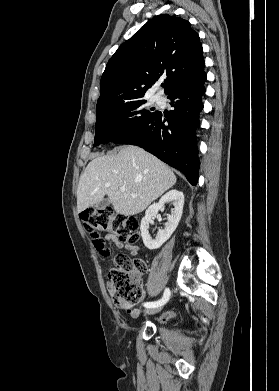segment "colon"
I'll return each instance as SVG.
<instances>
[{
	"label": "colon",
	"instance_id": "1",
	"mask_svg": "<svg viewBox=\"0 0 279 391\" xmlns=\"http://www.w3.org/2000/svg\"><path fill=\"white\" fill-rule=\"evenodd\" d=\"M80 219L101 256L110 255L106 239L100 236L101 232L109 233L122 244L133 245L140 239L138 220L132 216L117 214L111 208L85 210L81 212ZM145 270L146 264L141 260L133 262L124 254L115 257L108 277L110 294L116 306L130 311L141 301L143 288L138 275Z\"/></svg>",
	"mask_w": 279,
	"mask_h": 391
}]
</instances>
